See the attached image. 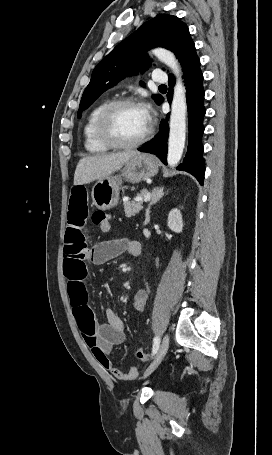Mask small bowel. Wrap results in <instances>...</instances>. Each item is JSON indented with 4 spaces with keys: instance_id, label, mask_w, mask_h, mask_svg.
I'll use <instances>...</instances> for the list:
<instances>
[{
    "instance_id": "1",
    "label": "small bowel",
    "mask_w": 272,
    "mask_h": 455,
    "mask_svg": "<svg viewBox=\"0 0 272 455\" xmlns=\"http://www.w3.org/2000/svg\"><path fill=\"white\" fill-rule=\"evenodd\" d=\"M87 215L86 188L76 185L70 194L64 239V274L68 281L72 313L87 346L101 366L118 380H130L139 375V369L133 367L126 373L110 359L112 348L125 340L124 322L110 308L105 311L106 322L101 324L97 321L90 306L86 281L90 265L104 263L123 253L136 258L141 254V246L130 239H109L88 246L84 235ZM147 300L148 293L139 289L133 295L132 305L137 311H142Z\"/></svg>"
}]
</instances>
